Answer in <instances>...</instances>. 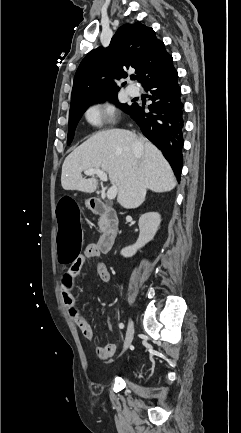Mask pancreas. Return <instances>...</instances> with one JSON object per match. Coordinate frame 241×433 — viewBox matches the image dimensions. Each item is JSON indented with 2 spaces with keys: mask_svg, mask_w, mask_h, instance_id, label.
Masks as SVG:
<instances>
[{
  "mask_svg": "<svg viewBox=\"0 0 241 433\" xmlns=\"http://www.w3.org/2000/svg\"><path fill=\"white\" fill-rule=\"evenodd\" d=\"M99 227H100V232H102L103 231V226L101 225V224H99Z\"/></svg>",
  "mask_w": 241,
  "mask_h": 433,
  "instance_id": "pancreas-1",
  "label": "pancreas"
}]
</instances>
